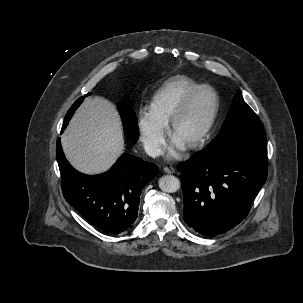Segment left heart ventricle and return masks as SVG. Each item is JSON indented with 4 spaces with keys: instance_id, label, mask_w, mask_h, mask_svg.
Listing matches in <instances>:
<instances>
[{
    "instance_id": "left-heart-ventricle-1",
    "label": "left heart ventricle",
    "mask_w": 303,
    "mask_h": 303,
    "mask_svg": "<svg viewBox=\"0 0 303 303\" xmlns=\"http://www.w3.org/2000/svg\"><path fill=\"white\" fill-rule=\"evenodd\" d=\"M215 104L212 92L204 90L193 100L191 106L179 121L174 137L185 145L191 142L207 123Z\"/></svg>"
}]
</instances>
